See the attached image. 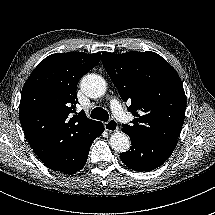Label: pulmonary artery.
<instances>
[{
	"instance_id": "obj_1",
	"label": "pulmonary artery",
	"mask_w": 215,
	"mask_h": 215,
	"mask_svg": "<svg viewBox=\"0 0 215 215\" xmlns=\"http://www.w3.org/2000/svg\"><path fill=\"white\" fill-rule=\"evenodd\" d=\"M113 117L116 120H123L126 117V110L123 107H116L113 110Z\"/></svg>"
}]
</instances>
